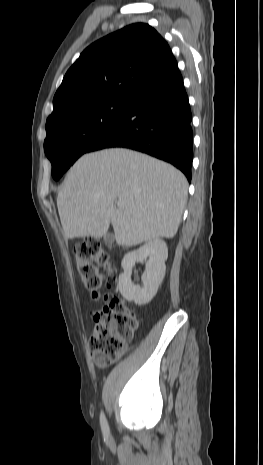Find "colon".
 <instances>
[{
    "label": "colon",
    "instance_id": "5ec220e1",
    "mask_svg": "<svg viewBox=\"0 0 263 465\" xmlns=\"http://www.w3.org/2000/svg\"><path fill=\"white\" fill-rule=\"evenodd\" d=\"M76 268L85 288L93 295L100 293L103 282L108 287L116 283L114 268L109 256L96 238H88L74 248ZM104 269V280L100 269ZM137 320L126 304L116 296L105 298L103 308L94 316L90 336V348L98 367H106L116 361L132 341L137 330Z\"/></svg>",
    "mask_w": 263,
    "mask_h": 465
}]
</instances>
